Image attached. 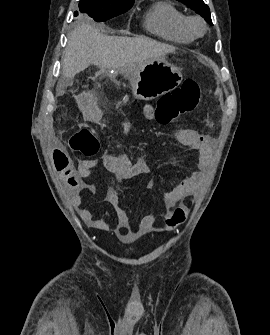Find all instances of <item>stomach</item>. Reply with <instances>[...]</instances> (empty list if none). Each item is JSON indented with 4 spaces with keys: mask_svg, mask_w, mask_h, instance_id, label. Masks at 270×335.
I'll return each mask as SVG.
<instances>
[{
    "mask_svg": "<svg viewBox=\"0 0 270 335\" xmlns=\"http://www.w3.org/2000/svg\"><path fill=\"white\" fill-rule=\"evenodd\" d=\"M129 74L132 94L136 100H155L166 92L175 90L183 80L178 68L165 60H152L142 67L121 68V74Z\"/></svg>",
    "mask_w": 270,
    "mask_h": 335,
    "instance_id": "obj_1",
    "label": "stomach"
}]
</instances>
